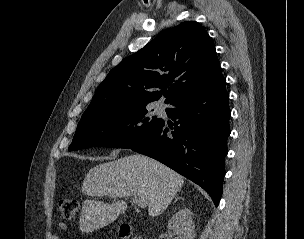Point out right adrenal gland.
Wrapping results in <instances>:
<instances>
[{"mask_svg": "<svg viewBox=\"0 0 304 239\" xmlns=\"http://www.w3.org/2000/svg\"><path fill=\"white\" fill-rule=\"evenodd\" d=\"M180 198H181V197H177L176 200H177V199H180Z\"/></svg>", "mask_w": 304, "mask_h": 239, "instance_id": "2a0ac1e0", "label": "right adrenal gland"}]
</instances>
